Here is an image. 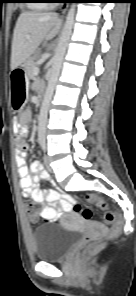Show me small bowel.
I'll return each mask as SVG.
<instances>
[{"label": "small bowel", "mask_w": 136, "mask_h": 296, "mask_svg": "<svg viewBox=\"0 0 136 296\" xmlns=\"http://www.w3.org/2000/svg\"><path fill=\"white\" fill-rule=\"evenodd\" d=\"M29 119V111H24L16 118L18 138L16 139V164L18 175L20 177V188L25 198H30L36 202H47L49 205L43 207L39 215H31L30 220L35 222L38 216L46 221H57L71 210L73 197L71 195H62L54 188L42 189L39 181H50L49 173L43 168L38 158L33 159L30 166L26 163V155L29 145L25 142L24 136L28 133L26 121Z\"/></svg>", "instance_id": "small-bowel-1"}]
</instances>
